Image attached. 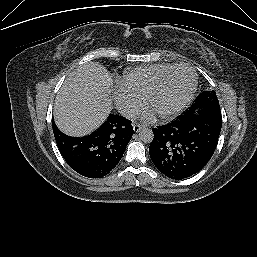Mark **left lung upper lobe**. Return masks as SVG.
Returning a JSON list of instances; mask_svg holds the SVG:
<instances>
[{
  "label": "left lung upper lobe",
  "mask_w": 257,
  "mask_h": 257,
  "mask_svg": "<svg viewBox=\"0 0 257 257\" xmlns=\"http://www.w3.org/2000/svg\"><path fill=\"white\" fill-rule=\"evenodd\" d=\"M194 109H200L203 107H217L220 108L219 101L216 93L213 90L204 91L196 98L195 102L191 106Z\"/></svg>",
  "instance_id": "obj_1"
}]
</instances>
